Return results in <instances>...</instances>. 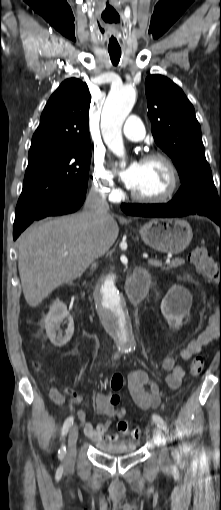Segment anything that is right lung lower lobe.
<instances>
[{"mask_svg": "<svg viewBox=\"0 0 221 510\" xmlns=\"http://www.w3.org/2000/svg\"><path fill=\"white\" fill-rule=\"evenodd\" d=\"M85 197L86 189L81 190L72 196L66 197L30 217H21L15 214L13 239L16 240L21 232L34 220H40L47 216L64 215L77 211L83 204Z\"/></svg>", "mask_w": 221, "mask_h": 510, "instance_id": "1", "label": "right lung lower lobe"}]
</instances>
